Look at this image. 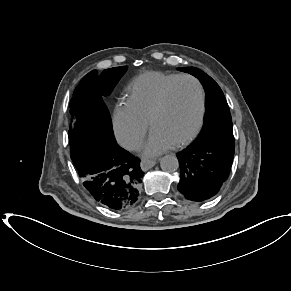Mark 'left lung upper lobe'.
I'll return each mask as SVG.
<instances>
[{
    "label": "left lung upper lobe",
    "mask_w": 291,
    "mask_h": 291,
    "mask_svg": "<svg viewBox=\"0 0 291 291\" xmlns=\"http://www.w3.org/2000/svg\"><path fill=\"white\" fill-rule=\"evenodd\" d=\"M180 71L197 77L206 90V106L203 128L194 142H208L234 147L232 119L229 106L219 85L202 70L195 67H181Z\"/></svg>",
    "instance_id": "left-lung-upper-lobe-1"
}]
</instances>
